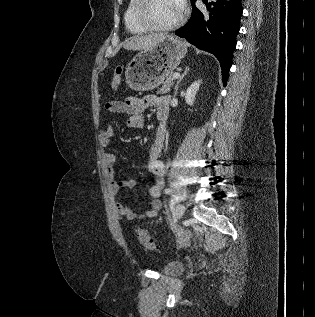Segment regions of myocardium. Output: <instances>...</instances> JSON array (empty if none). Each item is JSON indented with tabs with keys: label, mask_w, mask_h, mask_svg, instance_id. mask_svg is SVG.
<instances>
[{
	"label": "myocardium",
	"mask_w": 315,
	"mask_h": 317,
	"mask_svg": "<svg viewBox=\"0 0 315 317\" xmlns=\"http://www.w3.org/2000/svg\"><path fill=\"white\" fill-rule=\"evenodd\" d=\"M152 0H140L139 5L137 7V11H136V17H137V21L139 22V24L141 26H143L144 28H146L147 30H151V31H171L174 30L178 27H180L186 18V14L184 9H182L181 14L179 16V18L169 24V25H157L155 23H153L147 15L149 6L151 5Z\"/></svg>",
	"instance_id": "f54148a6"
}]
</instances>
